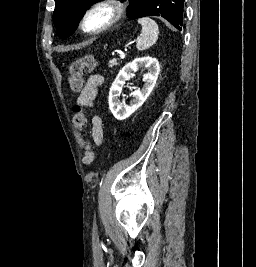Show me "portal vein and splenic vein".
Masks as SVG:
<instances>
[{
    "instance_id": "1",
    "label": "portal vein and splenic vein",
    "mask_w": 256,
    "mask_h": 267,
    "mask_svg": "<svg viewBox=\"0 0 256 267\" xmlns=\"http://www.w3.org/2000/svg\"><path fill=\"white\" fill-rule=\"evenodd\" d=\"M121 59H122V60H126V59H127V56H126V55H122V56H121Z\"/></svg>"
}]
</instances>
